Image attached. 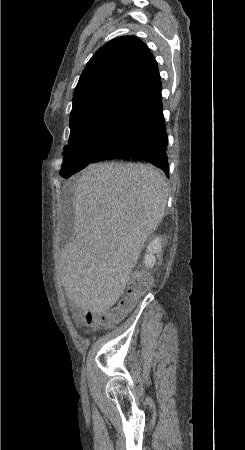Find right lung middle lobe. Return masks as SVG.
Instances as JSON below:
<instances>
[{"instance_id": "right-lung-middle-lobe-1", "label": "right lung middle lobe", "mask_w": 245, "mask_h": 450, "mask_svg": "<svg viewBox=\"0 0 245 450\" xmlns=\"http://www.w3.org/2000/svg\"><path fill=\"white\" fill-rule=\"evenodd\" d=\"M139 112L117 105H94L79 110L70 119L68 149L60 175L68 178L83 169L98 154L123 141Z\"/></svg>"}]
</instances>
